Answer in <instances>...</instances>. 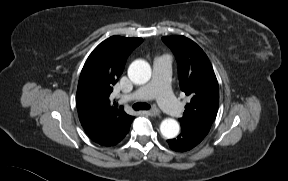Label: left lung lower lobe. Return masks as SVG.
<instances>
[{
  "mask_svg": "<svg viewBox=\"0 0 288 181\" xmlns=\"http://www.w3.org/2000/svg\"><path fill=\"white\" fill-rule=\"evenodd\" d=\"M209 132V129L181 124V133L176 139L168 140L169 146L179 152H184L198 145Z\"/></svg>",
  "mask_w": 288,
  "mask_h": 181,
  "instance_id": "obj_1",
  "label": "left lung lower lobe"
}]
</instances>
